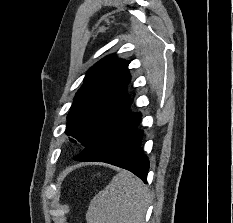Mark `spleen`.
<instances>
[{
  "instance_id": "spleen-1",
  "label": "spleen",
  "mask_w": 233,
  "mask_h": 223,
  "mask_svg": "<svg viewBox=\"0 0 233 223\" xmlns=\"http://www.w3.org/2000/svg\"><path fill=\"white\" fill-rule=\"evenodd\" d=\"M149 193L141 179L128 171L114 175L107 187L96 193L86 213L87 223H145Z\"/></svg>"
}]
</instances>
